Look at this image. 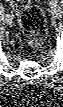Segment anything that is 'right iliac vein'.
<instances>
[{
    "mask_svg": "<svg viewBox=\"0 0 63 107\" xmlns=\"http://www.w3.org/2000/svg\"><path fill=\"white\" fill-rule=\"evenodd\" d=\"M12 21H13V16L10 15V14H7V15H6V22H7V23H12Z\"/></svg>",
    "mask_w": 63,
    "mask_h": 107,
    "instance_id": "obj_1",
    "label": "right iliac vein"
}]
</instances>
